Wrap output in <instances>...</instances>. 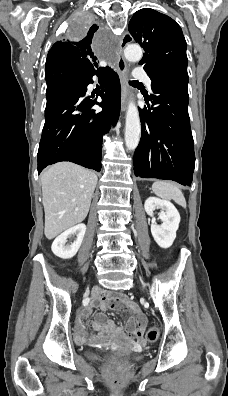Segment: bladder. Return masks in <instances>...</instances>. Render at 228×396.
Instances as JSON below:
<instances>
[{"mask_svg": "<svg viewBox=\"0 0 228 396\" xmlns=\"http://www.w3.org/2000/svg\"><path fill=\"white\" fill-rule=\"evenodd\" d=\"M85 356L94 361H99L101 360L104 356L102 353L94 351V350H87L85 352ZM113 357L119 359V360H130V359H136L139 358L141 355L137 353H129L126 351H117L112 354Z\"/></svg>", "mask_w": 228, "mask_h": 396, "instance_id": "obj_1", "label": "bladder"}]
</instances>
